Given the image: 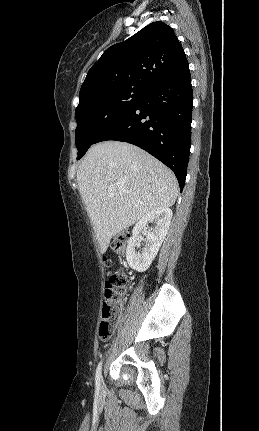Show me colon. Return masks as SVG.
Masks as SVG:
<instances>
[{
  "instance_id": "1",
  "label": "colon",
  "mask_w": 259,
  "mask_h": 431,
  "mask_svg": "<svg viewBox=\"0 0 259 431\" xmlns=\"http://www.w3.org/2000/svg\"><path fill=\"white\" fill-rule=\"evenodd\" d=\"M130 234L121 232L112 240V250L118 256H123L126 252ZM106 267L111 266V261L104 258ZM127 278L123 270H118L111 274L105 283V301L101 312L99 326V336L101 339H108L116 327L122 309V300L127 292Z\"/></svg>"
}]
</instances>
